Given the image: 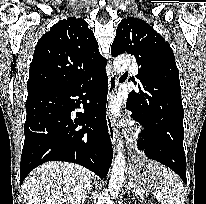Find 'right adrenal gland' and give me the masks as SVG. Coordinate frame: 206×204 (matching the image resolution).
<instances>
[{"mask_svg": "<svg viewBox=\"0 0 206 204\" xmlns=\"http://www.w3.org/2000/svg\"><path fill=\"white\" fill-rule=\"evenodd\" d=\"M91 190H92V186H90V187L88 188L87 195L90 194ZM87 197H88V196H87ZM85 199H86V197H85ZM85 199L83 200V203H82V204H84Z\"/></svg>", "mask_w": 206, "mask_h": 204, "instance_id": "2a0ac1e0", "label": "right adrenal gland"}]
</instances>
